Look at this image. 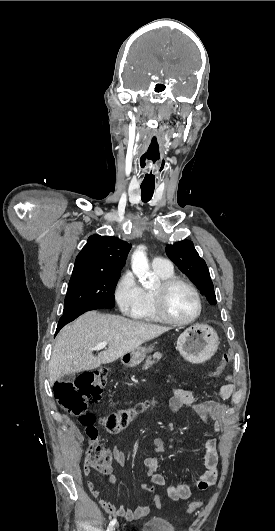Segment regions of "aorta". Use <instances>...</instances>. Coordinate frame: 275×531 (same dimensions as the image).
I'll use <instances>...</instances> for the list:
<instances>
[{
  "label": "aorta",
  "mask_w": 275,
  "mask_h": 531,
  "mask_svg": "<svg viewBox=\"0 0 275 531\" xmlns=\"http://www.w3.org/2000/svg\"><path fill=\"white\" fill-rule=\"evenodd\" d=\"M146 247H137L131 257V269L138 277L142 287L144 289H154L156 283H159V279H155L150 273L147 255L145 253Z\"/></svg>",
  "instance_id": "762f6f07"
}]
</instances>
